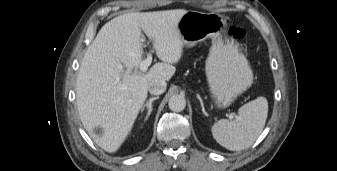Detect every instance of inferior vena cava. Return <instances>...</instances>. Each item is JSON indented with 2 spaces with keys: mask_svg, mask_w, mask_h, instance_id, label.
Returning a JSON list of instances; mask_svg holds the SVG:
<instances>
[{
  "mask_svg": "<svg viewBox=\"0 0 337 171\" xmlns=\"http://www.w3.org/2000/svg\"><path fill=\"white\" fill-rule=\"evenodd\" d=\"M167 84L164 80L155 79L149 83L148 90L153 95H160L166 90Z\"/></svg>",
  "mask_w": 337,
  "mask_h": 171,
  "instance_id": "1",
  "label": "inferior vena cava"
}]
</instances>
